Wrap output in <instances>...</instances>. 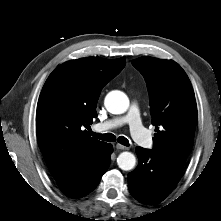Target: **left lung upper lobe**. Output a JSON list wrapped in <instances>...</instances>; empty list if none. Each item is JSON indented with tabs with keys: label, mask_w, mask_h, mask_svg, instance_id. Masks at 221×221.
<instances>
[{
	"label": "left lung upper lobe",
	"mask_w": 221,
	"mask_h": 221,
	"mask_svg": "<svg viewBox=\"0 0 221 221\" xmlns=\"http://www.w3.org/2000/svg\"><path fill=\"white\" fill-rule=\"evenodd\" d=\"M132 64L144 76L148 91L155 154L184 165L197 123L194 91L185 71L174 61L141 57Z\"/></svg>",
	"instance_id": "5c2ea615"
}]
</instances>
